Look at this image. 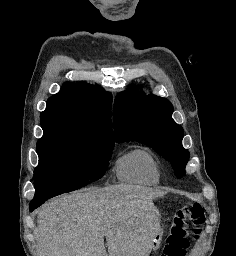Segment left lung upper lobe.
<instances>
[{"label":"left lung upper lobe","mask_w":236,"mask_h":256,"mask_svg":"<svg viewBox=\"0 0 236 256\" xmlns=\"http://www.w3.org/2000/svg\"><path fill=\"white\" fill-rule=\"evenodd\" d=\"M173 106L166 98L146 96L133 86L117 95L114 104V129L117 142L137 141L152 147L181 178L189 160L182 146L183 128L172 119Z\"/></svg>","instance_id":"1"}]
</instances>
